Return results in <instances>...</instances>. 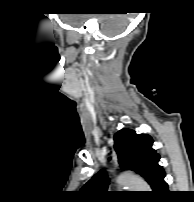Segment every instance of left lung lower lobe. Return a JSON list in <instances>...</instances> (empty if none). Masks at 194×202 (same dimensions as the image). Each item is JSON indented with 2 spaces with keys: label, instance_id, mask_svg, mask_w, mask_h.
Returning <instances> with one entry per match:
<instances>
[{
  "label": "left lung lower lobe",
  "instance_id": "obj_1",
  "mask_svg": "<svg viewBox=\"0 0 194 202\" xmlns=\"http://www.w3.org/2000/svg\"><path fill=\"white\" fill-rule=\"evenodd\" d=\"M165 172L162 169L158 174L155 183L152 186V193L156 196H165L168 193V185L164 181Z\"/></svg>",
  "mask_w": 194,
  "mask_h": 202
}]
</instances>
